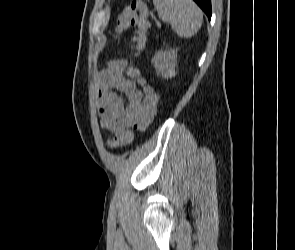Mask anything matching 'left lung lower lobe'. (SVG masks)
I'll return each mask as SVG.
<instances>
[{
  "label": "left lung lower lobe",
  "mask_w": 295,
  "mask_h": 250,
  "mask_svg": "<svg viewBox=\"0 0 295 250\" xmlns=\"http://www.w3.org/2000/svg\"><path fill=\"white\" fill-rule=\"evenodd\" d=\"M201 9L206 13L208 18H211V0H194Z\"/></svg>",
  "instance_id": "obj_1"
}]
</instances>
